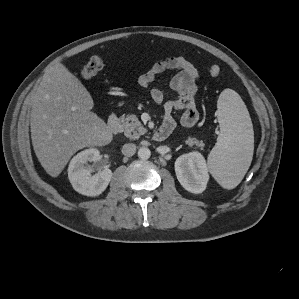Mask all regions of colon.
Wrapping results in <instances>:
<instances>
[{
    "instance_id": "1",
    "label": "colon",
    "mask_w": 299,
    "mask_h": 299,
    "mask_svg": "<svg viewBox=\"0 0 299 299\" xmlns=\"http://www.w3.org/2000/svg\"><path fill=\"white\" fill-rule=\"evenodd\" d=\"M105 66V59L101 56L91 57L82 68V76L86 79H90L97 75ZM209 74L212 77L220 75V67L218 65H212L209 68Z\"/></svg>"
}]
</instances>
